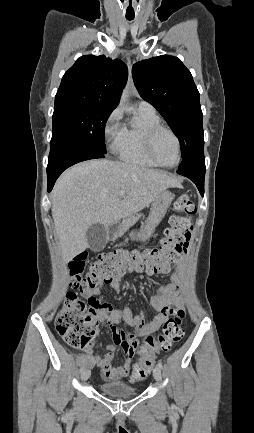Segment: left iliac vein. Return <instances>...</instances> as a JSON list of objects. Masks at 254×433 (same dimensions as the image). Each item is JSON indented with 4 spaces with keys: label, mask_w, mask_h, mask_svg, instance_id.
<instances>
[{
    "label": "left iliac vein",
    "mask_w": 254,
    "mask_h": 433,
    "mask_svg": "<svg viewBox=\"0 0 254 433\" xmlns=\"http://www.w3.org/2000/svg\"><path fill=\"white\" fill-rule=\"evenodd\" d=\"M153 376H154L155 380H156L158 383L161 381V379H162V372H161V369H160L158 366H156V367L154 368Z\"/></svg>",
    "instance_id": "1"
}]
</instances>
